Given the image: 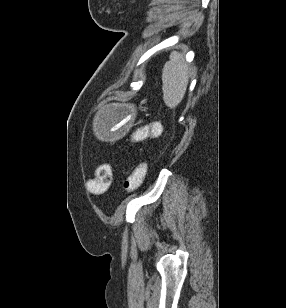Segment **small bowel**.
Masks as SVG:
<instances>
[{
	"mask_svg": "<svg viewBox=\"0 0 286 308\" xmlns=\"http://www.w3.org/2000/svg\"><path fill=\"white\" fill-rule=\"evenodd\" d=\"M151 123H158V122L154 121V122H151Z\"/></svg>",
	"mask_w": 286,
	"mask_h": 308,
	"instance_id": "1",
	"label": "small bowel"
}]
</instances>
